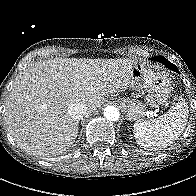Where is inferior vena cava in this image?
<instances>
[{
	"instance_id": "obj_1",
	"label": "inferior vena cava",
	"mask_w": 196,
	"mask_h": 196,
	"mask_svg": "<svg viewBox=\"0 0 196 196\" xmlns=\"http://www.w3.org/2000/svg\"><path fill=\"white\" fill-rule=\"evenodd\" d=\"M88 111L85 104L73 103L68 107V114L74 119H81Z\"/></svg>"
}]
</instances>
